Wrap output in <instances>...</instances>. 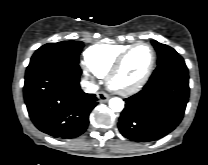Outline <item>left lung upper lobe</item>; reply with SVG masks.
<instances>
[{"instance_id":"obj_1","label":"left lung upper lobe","mask_w":208,"mask_h":165,"mask_svg":"<svg viewBox=\"0 0 208 165\" xmlns=\"http://www.w3.org/2000/svg\"><path fill=\"white\" fill-rule=\"evenodd\" d=\"M152 45L158 53V64L167 60L170 57L178 55V53L171 47L152 40Z\"/></svg>"}]
</instances>
